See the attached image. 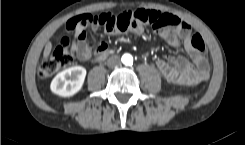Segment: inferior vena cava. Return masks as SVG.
<instances>
[{
	"instance_id": "inferior-vena-cava-1",
	"label": "inferior vena cava",
	"mask_w": 245,
	"mask_h": 145,
	"mask_svg": "<svg viewBox=\"0 0 245 145\" xmlns=\"http://www.w3.org/2000/svg\"><path fill=\"white\" fill-rule=\"evenodd\" d=\"M107 65L110 68H115L120 65V58L118 56H112L107 60Z\"/></svg>"
}]
</instances>
